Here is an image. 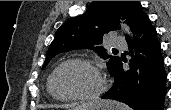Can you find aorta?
<instances>
[{"mask_svg": "<svg viewBox=\"0 0 171 110\" xmlns=\"http://www.w3.org/2000/svg\"><path fill=\"white\" fill-rule=\"evenodd\" d=\"M120 27H121V29H122L125 33H127L131 38L133 37V34H132V32L130 31L129 26H128L126 23H124V22L121 21Z\"/></svg>", "mask_w": 171, "mask_h": 110, "instance_id": "1", "label": "aorta"}]
</instances>
